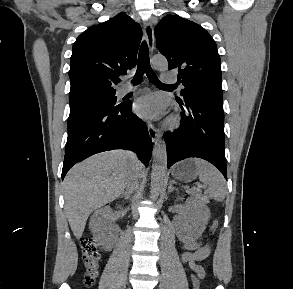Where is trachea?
I'll return each instance as SVG.
<instances>
[{"label":"trachea","mask_w":293,"mask_h":289,"mask_svg":"<svg viewBox=\"0 0 293 289\" xmlns=\"http://www.w3.org/2000/svg\"><path fill=\"white\" fill-rule=\"evenodd\" d=\"M146 73L150 82L156 86H168L169 84L162 83L153 72L150 66L149 49L146 41H143L138 55V65L135 76L132 80L134 84H139L142 81L143 75Z\"/></svg>","instance_id":"3493384b"}]
</instances>
